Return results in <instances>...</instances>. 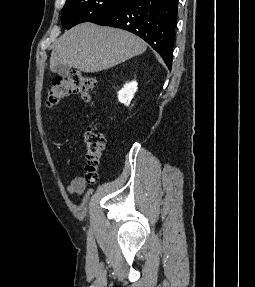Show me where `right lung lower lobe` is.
<instances>
[{
    "label": "right lung lower lobe",
    "instance_id": "right-lung-lower-lobe-1",
    "mask_svg": "<svg viewBox=\"0 0 255 287\" xmlns=\"http://www.w3.org/2000/svg\"><path fill=\"white\" fill-rule=\"evenodd\" d=\"M178 0H126L91 22L130 31L144 39L172 67Z\"/></svg>",
    "mask_w": 255,
    "mask_h": 287
}]
</instances>
